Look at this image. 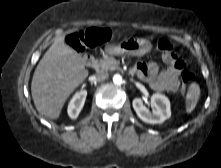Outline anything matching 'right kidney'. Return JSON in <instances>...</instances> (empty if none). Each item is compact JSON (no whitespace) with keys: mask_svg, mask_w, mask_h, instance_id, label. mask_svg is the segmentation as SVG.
I'll return each mask as SVG.
<instances>
[{"mask_svg":"<svg viewBox=\"0 0 221 168\" xmlns=\"http://www.w3.org/2000/svg\"><path fill=\"white\" fill-rule=\"evenodd\" d=\"M87 96V91L82 90L80 92H77L73 98L71 99L69 105H68V115L72 119H76L81 111V109L84 106L85 100Z\"/></svg>","mask_w":221,"mask_h":168,"instance_id":"ca27d5eb","label":"right kidney"}]
</instances>
